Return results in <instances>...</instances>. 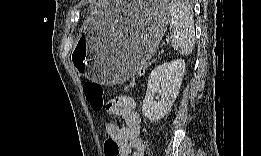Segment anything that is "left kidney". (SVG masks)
Returning <instances> with one entry per match:
<instances>
[{
    "label": "left kidney",
    "mask_w": 261,
    "mask_h": 156,
    "mask_svg": "<svg viewBox=\"0 0 261 156\" xmlns=\"http://www.w3.org/2000/svg\"><path fill=\"white\" fill-rule=\"evenodd\" d=\"M185 73V61L173 60L155 67L148 78L147 91L142 105L150 121L162 119L175 102ZM159 94V97H155Z\"/></svg>",
    "instance_id": "obj_1"
}]
</instances>
